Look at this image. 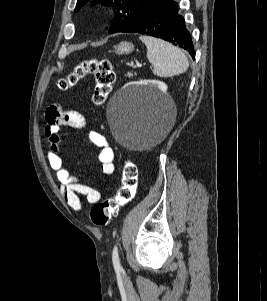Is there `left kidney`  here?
I'll list each match as a JSON object with an SVG mask.
<instances>
[{
    "label": "left kidney",
    "instance_id": "left-kidney-1",
    "mask_svg": "<svg viewBox=\"0 0 267 301\" xmlns=\"http://www.w3.org/2000/svg\"><path fill=\"white\" fill-rule=\"evenodd\" d=\"M149 82L155 84L162 91L167 90V86L162 82H159V81H149ZM139 84H141V83H139ZM130 86H131V84L127 85V87H130Z\"/></svg>",
    "mask_w": 267,
    "mask_h": 301
}]
</instances>
